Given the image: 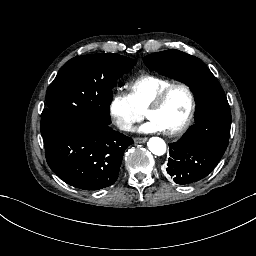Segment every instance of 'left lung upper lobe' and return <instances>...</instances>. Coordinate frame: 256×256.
<instances>
[{"mask_svg": "<svg viewBox=\"0 0 256 256\" xmlns=\"http://www.w3.org/2000/svg\"><path fill=\"white\" fill-rule=\"evenodd\" d=\"M143 61L151 70L190 86L197 105L196 124L177 143L169 144L167 172L207 176L230 136L231 111L222 87L200 59L178 50L150 54Z\"/></svg>", "mask_w": 256, "mask_h": 256, "instance_id": "1", "label": "left lung upper lobe"}]
</instances>
